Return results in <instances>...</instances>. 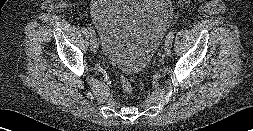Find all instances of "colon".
Listing matches in <instances>:
<instances>
[{"label":"colon","instance_id":"5ec220e1","mask_svg":"<svg viewBox=\"0 0 253 131\" xmlns=\"http://www.w3.org/2000/svg\"><path fill=\"white\" fill-rule=\"evenodd\" d=\"M193 1H198V0H193ZM120 80V85L123 89V91L127 94H132L134 91V87L130 79H128L125 75H120L119 77Z\"/></svg>","mask_w":253,"mask_h":131}]
</instances>
